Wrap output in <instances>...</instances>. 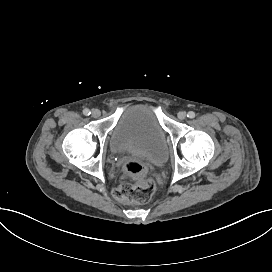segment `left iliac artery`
Instances as JSON below:
<instances>
[{
	"label": "left iliac artery",
	"mask_w": 272,
	"mask_h": 272,
	"mask_svg": "<svg viewBox=\"0 0 272 272\" xmlns=\"http://www.w3.org/2000/svg\"><path fill=\"white\" fill-rule=\"evenodd\" d=\"M187 117L192 119L195 117V113L193 111H190V112H188Z\"/></svg>",
	"instance_id": "left-iliac-artery-1"
}]
</instances>
